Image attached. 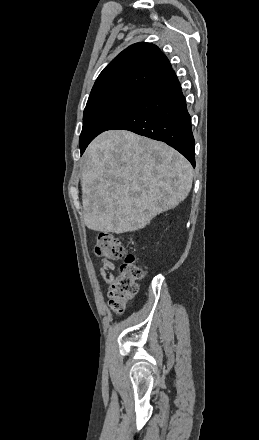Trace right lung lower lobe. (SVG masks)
I'll use <instances>...</instances> for the list:
<instances>
[{"label": "right lung lower lobe", "instance_id": "obj_1", "mask_svg": "<svg viewBox=\"0 0 259 440\" xmlns=\"http://www.w3.org/2000/svg\"><path fill=\"white\" fill-rule=\"evenodd\" d=\"M113 129L129 130L163 141L179 151L195 167L191 119L181 85L173 70L150 88L126 115L107 130Z\"/></svg>", "mask_w": 259, "mask_h": 440}]
</instances>
